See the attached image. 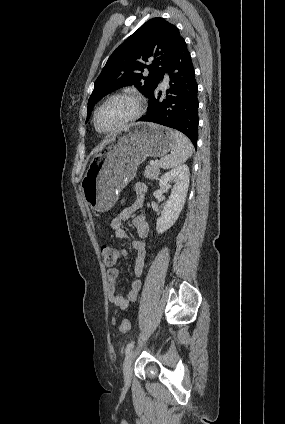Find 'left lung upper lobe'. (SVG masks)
<instances>
[{"instance_id":"left-lung-upper-lobe-1","label":"left lung upper lobe","mask_w":285,"mask_h":424,"mask_svg":"<svg viewBox=\"0 0 285 424\" xmlns=\"http://www.w3.org/2000/svg\"><path fill=\"white\" fill-rule=\"evenodd\" d=\"M180 38L178 28L160 17L150 19L128 37L112 53L95 81L86 121L94 105L120 87L134 85L149 97L162 79ZM148 60H152L151 65L145 64ZM144 69L149 70L147 77L142 74Z\"/></svg>"}]
</instances>
